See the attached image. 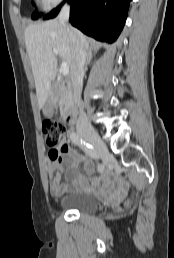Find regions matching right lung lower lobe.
Here are the masks:
<instances>
[{
  "label": "right lung lower lobe",
  "mask_w": 174,
  "mask_h": 258,
  "mask_svg": "<svg viewBox=\"0 0 174 258\" xmlns=\"http://www.w3.org/2000/svg\"><path fill=\"white\" fill-rule=\"evenodd\" d=\"M131 0H68L71 4L70 23L96 40L113 43L119 36ZM60 7L43 17L57 16Z\"/></svg>",
  "instance_id": "right-lung-lower-lobe-1"
}]
</instances>
